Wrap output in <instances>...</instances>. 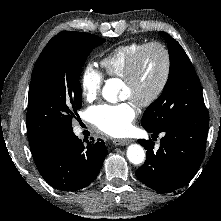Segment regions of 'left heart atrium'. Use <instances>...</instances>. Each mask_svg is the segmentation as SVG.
I'll list each match as a JSON object with an SVG mask.
<instances>
[{"instance_id": "obj_1", "label": "left heart atrium", "mask_w": 221, "mask_h": 221, "mask_svg": "<svg viewBox=\"0 0 221 221\" xmlns=\"http://www.w3.org/2000/svg\"><path fill=\"white\" fill-rule=\"evenodd\" d=\"M92 123L110 136H122L128 133L137 115L133 102L119 104H101L89 111Z\"/></svg>"}]
</instances>
